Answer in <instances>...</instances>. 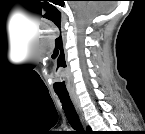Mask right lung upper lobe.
I'll list each match as a JSON object with an SVG mask.
<instances>
[{
  "mask_svg": "<svg viewBox=\"0 0 145 134\" xmlns=\"http://www.w3.org/2000/svg\"><path fill=\"white\" fill-rule=\"evenodd\" d=\"M87 131H89V132H90V131H91V128H90V127H87Z\"/></svg>",
  "mask_w": 145,
  "mask_h": 134,
  "instance_id": "obj_1",
  "label": "right lung upper lobe"
}]
</instances>
